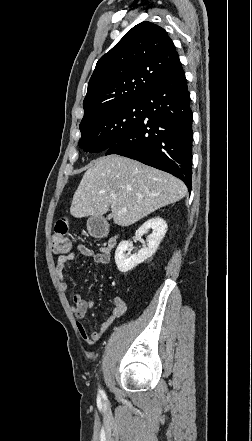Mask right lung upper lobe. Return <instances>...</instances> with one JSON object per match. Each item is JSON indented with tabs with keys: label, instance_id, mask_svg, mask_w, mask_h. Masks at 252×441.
I'll return each instance as SVG.
<instances>
[{
	"label": "right lung upper lobe",
	"instance_id": "right-lung-upper-lobe-1",
	"mask_svg": "<svg viewBox=\"0 0 252 441\" xmlns=\"http://www.w3.org/2000/svg\"><path fill=\"white\" fill-rule=\"evenodd\" d=\"M179 64L175 46L162 27L148 21L137 24L97 62L82 121L141 99Z\"/></svg>",
	"mask_w": 252,
	"mask_h": 441
}]
</instances>
